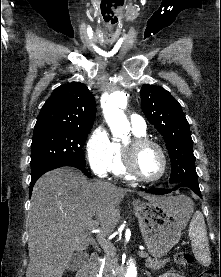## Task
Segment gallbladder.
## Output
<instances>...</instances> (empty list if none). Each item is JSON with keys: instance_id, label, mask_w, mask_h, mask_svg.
Here are the masks:
<instances>
[{"instance_id": "obj_1", "label": "gallbladder", "mask_w": 221, "mask_h": 277, "mask_svg": "<svg viewBox=\"0 0 221 277\" xmlns=\"http://www.w3.org/2000/svg\"><path fill=\"white\" fill-rule=\"evenodd\" d=\"M87 260L88 254L86 252H76L74 253L71 261L68 263L67 269L69 271H77L86 264Z\"/></svg>"}]
</instances>
